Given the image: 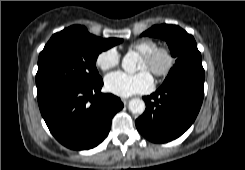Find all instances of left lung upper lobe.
<instances>
[{
	"label": "left lung upper lobe",
	"instance_id": "5c2ea615",
	"mask_svg": "<svg viewBox=\"0 0 245 170\" xmlns=\"http://www.w3.org/2000/svg\"><path fill=\"white\" fill-rule=\"evenodd\" d=\"M154 36L164 39L176 58L163 85L180 79H194L204 81V69L202 66L201 53L192 35L176 25H155L145 31L142 36Z\"/></svg>",
	"mask_w": 245,
	"mask_h": 170
}]
</instances>
